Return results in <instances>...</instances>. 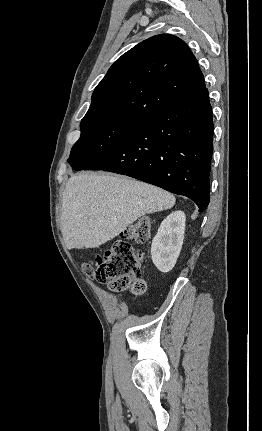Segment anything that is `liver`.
<instances>
[{
	"label": "liver",
	"mask_w": 262,
	"mask_h": 431,
	"mask_svg": "<svg viewBox=\"0 0 262 431\" xmlns=\"http://www.w3.org/2000/svg\"><path fill=\"white\" fill-rule=\"evenodd\" d=\"M169 192L109 173L72 176L62 198V235L68 249L97 248L145 214L172 208Z\"/></svg>",
	"instance_id": "6515ba94"
}]
</instances>
